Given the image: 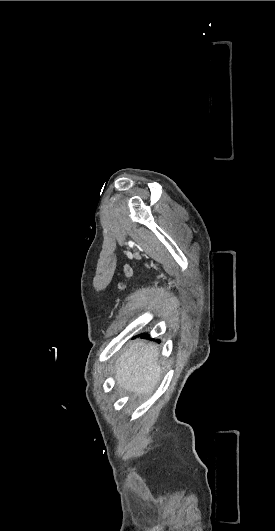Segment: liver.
Segmentation results:
<instances>
[{
    "mask_svg": "<svg viewBox=\"0 0 275 531\" xmlns=\"http://www.w3.org/2000/svg\"><path fill=\"white\" fill-rule=\"evenodd\" d=\"M159 351L156 345L136 341L120 355L114 365L116 387L136 397L152 395L161 377Z\"/></svg>",
    "mask_w": 275,
    "mask_h": 531,
    "instance_id": "liver-1",
    "label": "liver"
}]
</instances>
